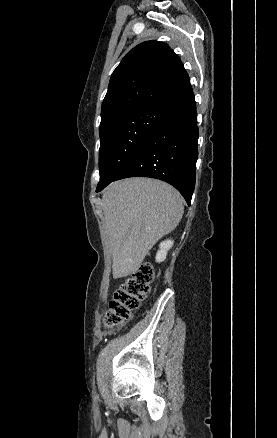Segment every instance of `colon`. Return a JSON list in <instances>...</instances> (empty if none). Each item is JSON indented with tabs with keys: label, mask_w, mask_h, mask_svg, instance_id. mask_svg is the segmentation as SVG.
<instances>
[{
	"label": "colon",
	"mask_w": 277,
	"mask_h": 438,
	"mask_svg": "<svg viewBox=\"0 0 277 438\" xmlns=\"http://www.w3.org/2000/svg\"><path fill=\"white\" fill-rule=\"evenodd\" d=\"M151 278L152 269L149 266H141L119 283L109 305L107 320L110 323L119 324L126 321L140 308L142 300L150 294Z\"/></svg>",
	"instance_id": "5ec220e1"
}]
</instances>
